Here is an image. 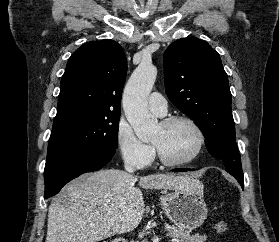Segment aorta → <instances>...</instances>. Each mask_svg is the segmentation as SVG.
I'll list each match as a JSON object with an SVG mask.
<instances>
[{"instance_id": "1", "label": "aorta", "mask_w": 279, "mask_h": 242, "mask_svg": "<svg viewBox=\"0 0 279 242\" xmlns=\"http://www.w3.org/2000/svg\"><path fill=\"white\" fill-rule=\"evenodd\" d=\"M156 76L154 65L141 63L131 75L123 94L125 116L142 141H148L158 127V120L149 112L147 102Z\"/></svg>"}]
</instances>
